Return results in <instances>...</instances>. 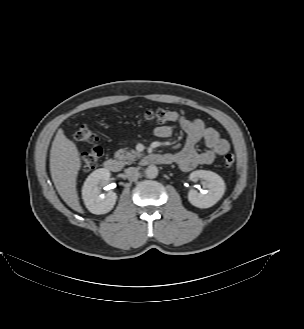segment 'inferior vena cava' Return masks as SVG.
Listing matches in <instances>:
<instances>
[{"mask_svg": "<svg viewBox=\"0 0 304 329\" xmlns=\"http://www.w3.org/2000/svg\"><path fill=\"white\" fill-rule=\"evenodd\" d=\"M125 175L128 180L135 181L139 177V172H138L137 168L129 167V168L125 169Z\"/></svg>", "mask_w": 304, "mask_h": 329, "instance_id": "602c4592", "label": "inferior vena cava"}]
</instances>
